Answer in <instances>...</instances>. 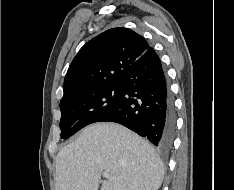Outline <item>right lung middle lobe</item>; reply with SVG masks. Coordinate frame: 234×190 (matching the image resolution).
Masks as SVG:
<instances>
[{
    "label": "right lung middle lobe",
    "mask_w": 234,
    "mask_h": 190,
    "mask_svg": "<svg viewBox=\"0 0 234 190\" xmlns=\"http://www.w3.org/2000/svg\"><path fill=\"white\" fill-rule=\"evenodd\" d=\"M120 90L117 83L82 92L60 102L61 138L67 139L106 115L114 107Z\"/></svg>",
    "instance_id": "dd1d6c3e"
}]
</instances>
